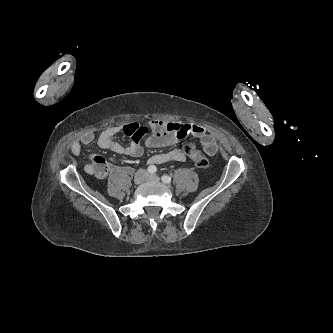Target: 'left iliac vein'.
Listing matches in <instances>:
<instances>
[{"label": "left iliac vein", "instance_id": "1", "mask_svg": "<svg viewBox=\"0 0 333 333\" xmlns=\"http://www.w3.org/2000/svg\"><path fill=\"white\" fill-rule=\"evenodd\" d=\"M147 180L158 182V181L160 180V178H159L157 175H155V174H149V175L147 176Z\"/></svg>", "mask_w": 333, "mask_h": 333}]
</instances>
